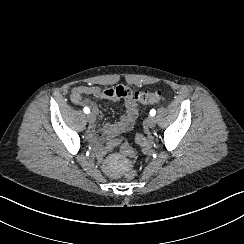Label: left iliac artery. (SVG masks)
<instances>
[{
    "instance_id": "1",
    "label": "left iliac artery",
    "mask_w": 244,
    "mask_h": 244,
    "mask_svg": "<svg viewBox=\"0 0 244 244\" xmlns=\"http://www.w3.org/2000/svg\"><path fill=\"white\" fill-rule=\"evenodd\" d=\"M155 114H156L155 109H152V110L150 111V115H151V116H155Z\"/></svg>"
}]
</instances>
